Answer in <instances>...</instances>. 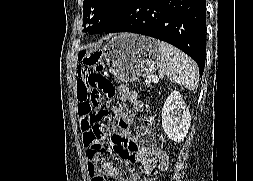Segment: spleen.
Instances as JSON below:
<instances>
[{
    "mask_svg": "<svg viewBox=\"0 0 253 181\" xmlns=\"http://www.w3.org/2000/svg\"><path fill=\"white\" fill-rule=\"evenodd\" d=\"M161 53L160 76H166L170 81L186 86L195 91L199 83L197 64L172 45L158 41Z\"/></svg>",
    "mask_w": 253,
    "mask_h": 181,
    "instance_id": "1",
    "label": "spleen"
}]
</instances>
